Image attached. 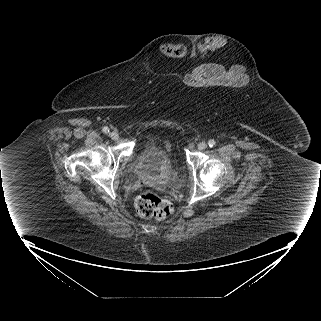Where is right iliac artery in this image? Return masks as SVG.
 Wrapping results in <instances>:
<instances>
[{
  "label": "right iliac artery",
  "instance_id": "obj_1",
  "mask_svg": "<svg viewBox=\"0 0 321 321\" xmlns=\"http://www.w3.org/2000/svg\"><path fill=\"white\" fill-rule=\"evenodd\" d=\"M102 131H103V133L107 134V133H109V128L108 127H104L102 129Z\"/></svg>",
  "mask_w": 321,
  "mask_h": 321
}]
</instances>
